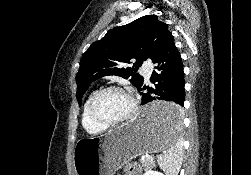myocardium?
I'll list each match as a JSON object with an SVG mask.
<instances>
[{"instance_id": "1", "label": "myocardium", "mask_w": 251, "mask_h": 175, "mask_svg": "<svg viewBox=\"0 0 251 175\" xmlns=\"http://www.w3.org/2000/svg\"><path fill=\"white\" fill-rule=\"evenodd\" d=\"M113 90H118V91L125 93L129 97L130 102H131V109H130L129 113L117 121H109V120L103 118L97 111V104H98L99 99L105 93H107L109 91H113ZM137 112H138V105H137V102L135 101V99L127 92L126 89H124L123 87L118 86V85H110V86H106V87H103L100 90H98L95 93V95L93 96V98L90 102V105H89V114H90L91 119L94 122L104 126L105 128H112V127H117L119 125L125 124V123L129 122L130 120H132L136 116Z\"/></svg>"}]
</instances>
